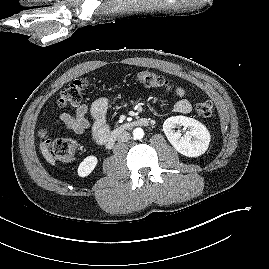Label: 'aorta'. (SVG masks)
Wrapping results in <instances>:
<instances>
[{
	"label": "aorta",
	"instance_id": "obj_1",
	"mask_svg": "<svg viewBox=\"0 0 269 269\" xmlns=\"http://www.w3.org/2000/svg\"><path fill=\"white\" fill-rule=\"evenodd\" d=\"M143 136H144V131H143L142 128H136V129H134V131H133V137L135 139H142Z\"/></svg>",
	"mask_w": 269,
	"mask_h": 269
}]
</instances>
